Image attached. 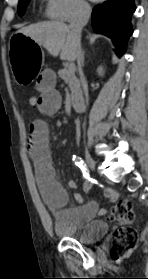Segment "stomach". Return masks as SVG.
<instances>
[{"mask_svg":"<svg viewBox=\"0 0 148 279\" xmlns=\"http://www.w3.org/2000/svg\"><path fill=\"white\" fill-rule=\"evenodd\" d=\"M8 40L11 50L9 59L11 69L18 83L25 86L31 82L43 69L45 58L41 45L35 42L27 34H12Z\"/></svg>","mask_w":148,"mask_h":279,"instance_id":"0dacf381","label":"stomach"}]
</instances>
